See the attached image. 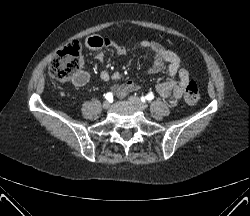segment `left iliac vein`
Segmentation results:
<instances>
[{
	"label": "left iliac vein",
	"mask_w": 250,
	"mask_h": 216,
	"mask_svg": "<svg viewBox=\"0 0 250 216\" xmlns=\"http://www.w3.org/2000/svg\"><path fill=\"white\" fill-rule=\"evenodd\" d=\"M129 100L141 110H145L147 107V105L144 102H142L138 97L130 96Z\"/></svg>",
	"instance_id": "left-iliac-vein-1"
}]
</instances>
